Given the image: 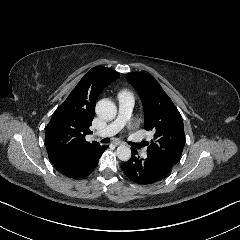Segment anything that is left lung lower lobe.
Returning a JSON list of instances; mask_svg holds the SVG:
<instances>
[{"label":"left lung lower lobe","instance_id":"obj_1","mask_svg":"<svg viewBox=\"0 0 240 240\" xmlns=\"http://www.w3.org/2000/svg\"><path fill=\"white\" fill-rule=\"evenodd\" d=\"M130 160L122 164L126 176L139 185L154 184L164 179L172 169V165L165 163L162 159L147 153L146 159L138 156L136 149H131Z\"/></svg>","mask_w":240,"mask_h":240}]
</instances>
